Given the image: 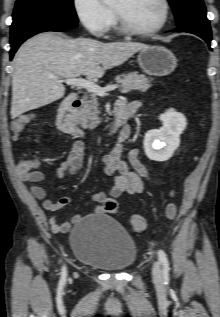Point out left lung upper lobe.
I'll return each mask as SVG.
<instances>
[{
	"label": "left lung upper lobe",
	"mask_w": 220,
	"mask_h": 317,
	"mask_svg": "<svg viewBox=\"0 0 220 317\" xmlns=\"http://www.w3.org/2000/svg\"><path fill=\"white\" fill-rule=\"evenodd\" d=\"M176 17L177 26L189 21L198 20L209 23L203 0H168Z\"/></svg>",
	"instance_id": "1"
}]
</instances>
